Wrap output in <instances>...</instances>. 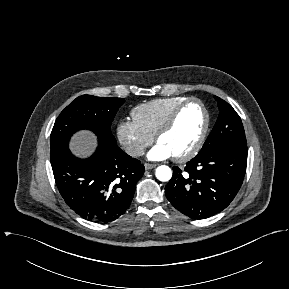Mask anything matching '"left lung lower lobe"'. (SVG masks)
Listing matches in <instances>:
<instances>
[{
	"label": "left lung lower lobe",
	"mask_w": 289,
	"mask_h": 289,
	"mask_svg": "<svg viewBox=\"0 0 289 289\" xmlns=\"http://www.w3.org/2000/svg\"><path fill=\"white\" fill-rule=\"evenodd\" d=\"M247 166V144H221L173 167L165 187L170 203L192 219H204L225 209L238 193Z\"/></svg>",
	"instance_id": "1"
}]
</instances>
